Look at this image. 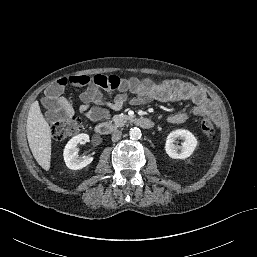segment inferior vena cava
Masks as SVG:
<instances>
[{"mask_svg":"<svg viewBox=\"0 0 257 257\" xmlns=\"http://www.w3.org/2000/svg\"><path fill=\"white\" fill-rule=\"evenodd\" d=\"M121 135H122V132H121V131L115 130V131L112 133V138H111L112 141H113V142H116V141L120 140Z\"/></svg>","mask_w":257,"mask_h":257,"instance_id":"1","label":"inferior vena cava"}]
</instances>
